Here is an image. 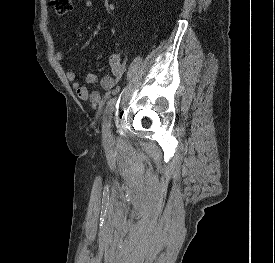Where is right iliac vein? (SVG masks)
<instances>
[{"mask_svg":"<svg viewBox=\"0 0 275 263\" xmlns=\"http://www.w3.org/2000/svg\"><path fill=\"white\" fill-rule=\"evenodd\" d=\"M110 139H111V130H110V126H109L108 131L105 132V134H104V141L105 142H110Z\"/></svg>","mask_w":275,"mask_h":263,"instance_id":"1","label":"right iliac vein"}]
</instances>
